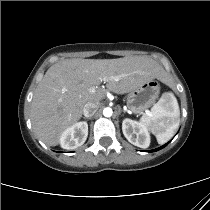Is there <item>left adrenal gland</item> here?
I'll return each mask as SVG.
<instances>
[{"label":"left adrenal gland","instance_id":"1","mask_svg":"<svg viewBox=\"0 0 210 210\" xmlns=\"http://www.w3.org/2000/svg\"><path fill=\"white\" fill-rule=\"evenodd\" d=\"M123 110L121 109V107L119 106V109H118V113L120 114ZM125 112V111H123Z\"/></svg>","mask_w":210,"mask_h":210}]
</instances>
